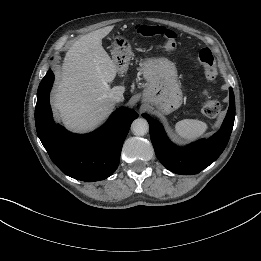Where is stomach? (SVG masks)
Segmentation results:
<instances>
[{
    "instance_id": "obj_1",
    "label": "stomach",
    "mask_w": 261,
    "mask_h": 261,
    "mask_svg": "<svg viewBox=\"0 0 261 261\" xmlns=\"http://www.w3.org/2000/svg\"><path fill=\"white\" fill-rule=\"evenodd\" d=\"M112 48L115 63L120 69H125L133 57L130 42L119 35L114 38ZM141 70L147 81L143 103L155 107L162 114H169L181 106L183 93L172 61L165 57L147 58L141 62Z\"/></svg>"
}]
</instances>
